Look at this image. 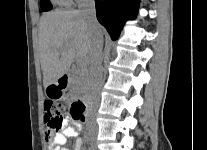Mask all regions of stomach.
<instances>
[{
    "instance_id": "0dacf381",
    "label": "stomach",
    "mask_w": 207,
    "mask_h": 150,
    "mask_svg": "<svg viewBox=\"0 0 207 150\" xmlns=\"http://www.w3.org/2000/svg\"><path fill=\"white\" fill-rule=\"evenodd\" d=\"M45 94L47 97L60 99L65 95V90L60 87L59 82L56 81L45 87Z\"/></svg>"
}]
</instances>
